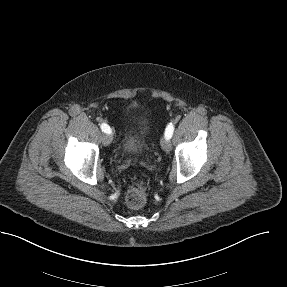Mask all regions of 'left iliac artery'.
I'll return each instance as SVG.
<instances>
[{"label": "left iliac artery", "mask_w": 287, "mask_h": 287, "mask_svg": "<svg viewBox=\"0 0 287 287\" xmlns=\"http://www.w3.org/2000/svg\"><path fill=\"white\" fill-rule=\"evenodd\" d=\"M173 131H174V125L172 123H169L165 129V137L167 139H170L173 135Z\"/></svg>", "instance_id": "obj_1"}]
</instances>
